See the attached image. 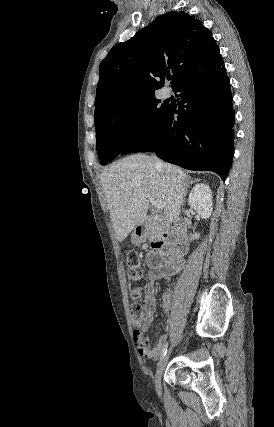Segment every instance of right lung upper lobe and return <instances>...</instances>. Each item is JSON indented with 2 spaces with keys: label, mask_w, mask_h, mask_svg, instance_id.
Returning a JSON list of instances; mask_svg holds the SVG:
<instances>
[{
  "label": "right lung upper lobe",
  "mask_w": 274,
  "mask_h": 427,
  "mask_svg": "<svg viewBox=\"0 0 274 427\" xmlns=\"http://www.w3.org/2000/svg\"><path fill=\"white\" fill-rule=\"evenodd\" d=\"M223 64L212 33L185 12L158 16L115 45L99 68L95 115L124 99L154 94L172 73L175 89L190 76Z\"/></svg>",
  "instance_id": "right-lung-upper-lobe-1"
}]
</instances>
